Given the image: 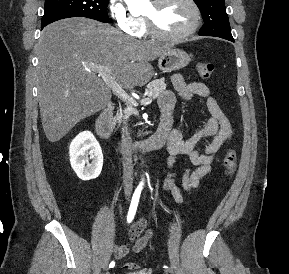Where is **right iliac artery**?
Instances as JSON below:
<instances>
[{
  "instance_id": "obj_1",
  "label": "right iliac artery",
  "mask_w": 289,
  "mask_h": 274,
  "mask_svg": "<svg viewBox=\"0 0 289 274\" xmlns=\"http://www.w3.org/2000/svg\"><path fill=\"white\" fill-rule=\"evenodd\" d=\"M140 194H141V188H137L133 194L131 204L129 207V211H128V215H127V222L128 223H131L134 216H135L137 206L139 203ZM114 266H115V262L111 261V263L109 264V268H113Z\"/></svg>"
}]
</instances>
